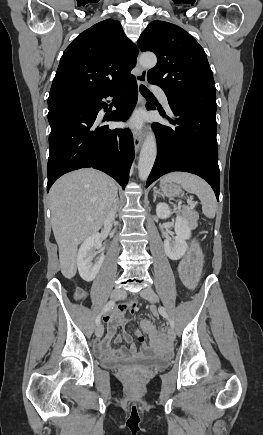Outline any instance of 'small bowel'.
Listing matches in <instances>:
<instances>
[{
	"label": "small bowel",
	"mask_w": 263,
	"mask_h": 435,
	"mask_svg": "<svg viewBox=\"0 0 263 435\" xmlns=\"http://www.w3.org/2000/svg\"><path fill=\"white\" fill-rule=\"evenodd\" d=\"M181 269L182 267L180 266V270ZM126 311L125 308H121L119 311L107 315L104 318V321L107 324V333L95 344V350L98 356L104 360H110L116 358H139L147 354L149 351L152 354H161V349L163 348V336L156 331L154 326L148 320L142 321V328L153 341H150L147 344L142 332L140 330L135 332L141 345V352L137 350L136 345L132 342V336L128 333L117 335L114 339V344L116 346H113L112 342L117 328L127 323V318L125 317ZM130 311L134 312L133 309ZM122 339L130 344L129 347L119 346Z\"/></svg>",
	"instance_id": "1"
}]
</instances>
